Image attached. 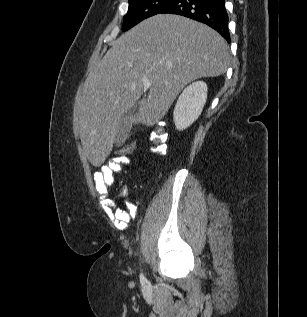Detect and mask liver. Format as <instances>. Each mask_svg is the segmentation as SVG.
<instances>
[{"label": "liver", "instance_id": "6515ba94", "mask_svg": "<svg viewBox=\"0 0 307 317\" xmlns=\"http://www.w3.org/2000/svg\"><path fill=\"white\" fill-rule=\"evenodd\" d=\"M229 64V47L219 33L179 15L158 14L121 35L89 72L75 101L90 162L97 167L105 161L122 115L145 91L133 122L153 126L188 83L220 76ZM144 81L151 83L149 89Z\"/></svg>", "mask_w": 307, "mask_h": 317}]
</instances>
